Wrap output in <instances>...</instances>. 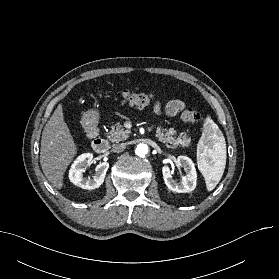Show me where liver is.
I'll list each match as a JSON object with an SVG mask.
<instances>
[{"instance_id":"liver-1","label":"liver","mask_w":279,"mask_h":279,"mask_svg":"<svg viewBox=\"0 0 279 279\" xmlns=\"http://www.w3.org/2000/svg\"><path fill=\"white\" fill-rule=\"evenodd\" d=\"M76 153L77 146L59 104L43 129L40 148L41 168L53 187H63L64 173Z\"/></svg>"}]
</instances>
